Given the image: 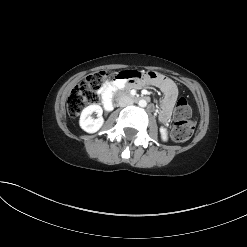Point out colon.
I'll return each mask as SVG.
<instances>
[{"mask_svg":"<svg viewBox=\"0 0 247 247\" xmlns=\"http://www.w3.org/2000/svg\"><path fill=\"white\" fill-rule=\"evenodd\" d=\"M115 72L99 71L90 74L81 84L77 85L71 92L67 109L71 117H77L82 110L98 101V92L107 81L114 80ZM191 108L187 100L179 98L174 110V125L171 136L176 142L188 140L194 131V125L191 120Z\"/></svg>","mask_w":247,"mask_h":247,"instance_id":"colon-1","label":"colon"}]
</instances>
